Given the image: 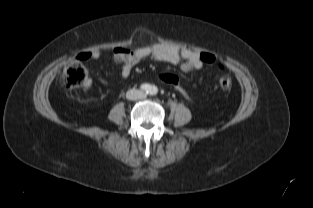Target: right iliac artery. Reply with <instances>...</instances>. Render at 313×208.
Segmentation results:
<instances>
[{
    "instance_id": "obj_1",
    "label": "right iliac artery",
    "mask_w": 313,
    "mask_h": 208,
    "mask_svg": "<svg viewBox=\"0 0 313 208\" xmlns=\"http://www.w3.org/2000/svg\"><path fill=\"white\" fill-rule=\"evenodd\" d=\"M141 90L145 91L146 93H149L151 90V86L147 83H144L140 86Z\"/></svg>"
}]
</instances>
